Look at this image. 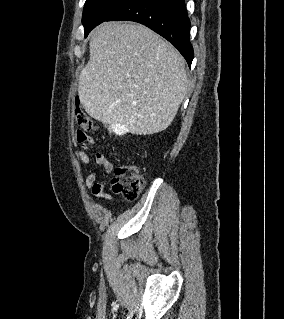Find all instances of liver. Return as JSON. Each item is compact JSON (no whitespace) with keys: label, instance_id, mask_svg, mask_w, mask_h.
<instances>
[{"label":"liver","instance_id":"6515ba94","mask_svg":"<svg viewBox=\"0 0 284 319\" xmlns=\"http://www.w3.org/2000/svg\"><path fill=\"white\" fill-rule=\"evenodd\" d=\"M78 96L94 119L136 135L168 128L187 91L185 62L162 37L140 24L103 23L89 42Z\"/></svg>","mask_w":284,"mask_h":319}]
</instances>
